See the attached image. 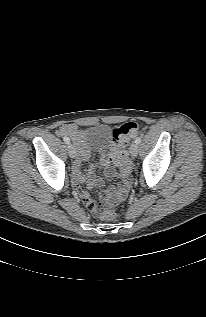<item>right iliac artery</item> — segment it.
I'll return each mask as SVG.
<instances>
[{"label":"right iliac artery","mask_w":206,"mask_h":317,"mask_svg":"<svg viewBox=\"0 0 206 317\" xmlns=\"http://www.w3.org/2000/svg\"><path fill=\"white\" fill-rule=\"evenodd\" d=\"M63 140L66 144H70V139L68 137H64Z\"/></svg>","instance_id":"1"}]
</instances>
